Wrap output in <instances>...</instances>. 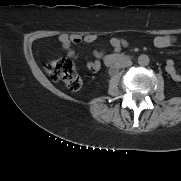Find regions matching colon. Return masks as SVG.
Returning a JSON list of instances; mask_svg holds the SVG:
<instances>
[{"mask_svg":"<svg viewBox=\"0 0 181 181\" xmlns=\"http://www.w3.org/2000/svg\"><path fill=\"white\" fill-rule=\"evenodd\" d=\"M46 71L54 81L64 83L71 91L81 88L82 79L69 59L60 58L50 61L46 65Z\"/></svg>","mask_w":181,"mask_h":181,"instance_id":"5ec220e1","label":"colon"}]
</instances>
